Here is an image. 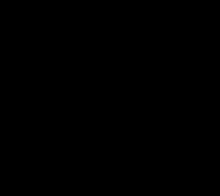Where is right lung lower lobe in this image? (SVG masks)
Here are the masks:
<instances>
[{"instance_id": "98d812e1", "label": "right lung lower lobe", "mask_w": 220, "mask_h": 196, "mask_svg": "<svg viewBox=\"0 0 220 196\" xmlns=\"http://www.w3.org/2000/svg\"><path fill=\"white\" fill-rule=\"evenodd\" d=\"M56 126L59 131H61L66 137L70 139H76L81 135L79 130L73 129L70 125H68L63 119L57 118Z\"/></svg>"}]
</instances>
